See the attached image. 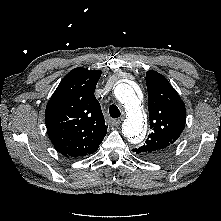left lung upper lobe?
<instances>
[{
	"instance_id": "left-lung-upper-lobe-1",
	"label": "left lung upper lobe",
	"mask_w": 221,
	"mask_h": 221,
	"mask_svg": "<svg viewBox=\"0 0 221 221\" xmlns=\"http://www.w3.org/2000/svg\"><path fill=\"white\" fill-rule=\"evenodd\" d=\"M148 110L152 132L134 152L148 160L166 156L180 137L186 122L183 101L168 80L156 71L146 73Z\"/></svg>"
}]
</instances>
